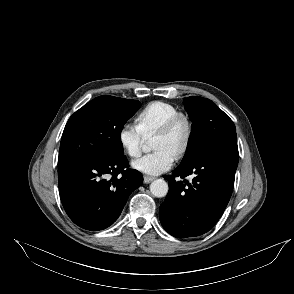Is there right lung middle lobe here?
Here are the masks:
<instances>
[{
  "label": "right lung middle lobe",
  "mask_w": 294,
  "mask_h": 294,
  "mask_svg": "<svg viewBox=\"0 0 294 294\" xmlns=\"http://www.w3.org/2000/svg\"><path fill=\"white\" fill-rule=\"evenodd\" d=\"M141 104L113 96H99L68 120L60 144L58 166L82 159L123 155L121 131Z\"/></svg>",
  "instance_id": "obj_1"
}]
</instances>
